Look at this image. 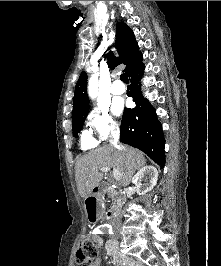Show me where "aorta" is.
I'll return each instance as SVG.
<instances>
[{"label":"aorta","mask_w":221,"mask_h":266,"mask_svg":"<svg viewBox=\"0 0 221 266\" xmlns=\"http://www.w3.org/2000/svg\"><path fill=\"white\" fill-rule=\"evenodd\" d=\"M96 71V69L94 70ZM97 88H98V81H97V74L91 76L88 82V93L91 98H95L97 96Z\"/></svg>","instance_id":"obj_1"}]
</instances>
